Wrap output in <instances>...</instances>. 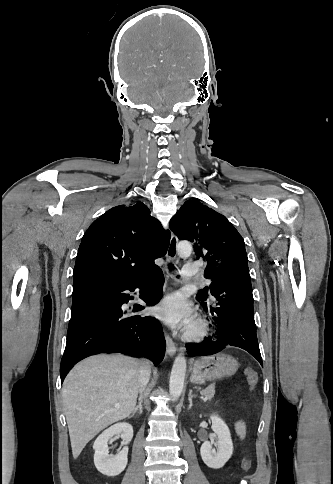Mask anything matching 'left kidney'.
<instances>
[{
    "label": "left kidney",
    "instance_id": "5707ae66",
    "mask_svg": "<svg viewBox=\"0 0 333 484\" xmlns=\"http://www.w3.org/2000/svg\"><path fill=\"white\" fill-rule=\"evenodd\" d=\"M212 429L217 435V451L212 448V442L206 441L201 445L200 454L204 463L213 469L222 468L231 458L233 453V443L231 434L226 423L215 414L210 416Z\"/></svg>",
    "mask_w": 333,
    "mask_h": 484
}]
</instances>
